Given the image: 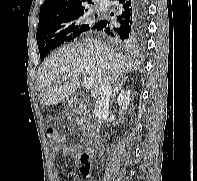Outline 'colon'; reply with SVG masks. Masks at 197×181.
Here are the masks:
<instances>
[{"mask_svg": "<svg viewBox=\"0 0 197 181\" xmlns=\"http://www.w3.org/2000/svg\"><path fill=\"white\" fill-rule=\"evenodd\" d=\"M46 138L50 143L51 147L55 150L59 148L60 143L62 142L61 137L58 135L56 129L53 126L46 128ZM80 171L84 176H87L91 170V164L89 162V154L83 152L79 156Z\"/></svg>", "mask_w": 197, "mask_h": 181, "instance_id": "obj_1", "label": "colon"}]
</instances>
